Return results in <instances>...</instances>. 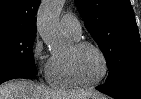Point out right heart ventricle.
Returning a JSON list of instances; mask_svg holds the SVG:
<instances>
[{
    "label": "right heart ventricle",
    "instance_id": "obj_1",
    "mask_svg": "<svg viewBox=\"0 0 141 99\" xmlns=\"http://www.w3.org/2000/svg\"><path fill=\"white\" fill-rule=\"evenodd\" d=\"M48 81L53 87L60 89L76 86L70 77L66 57H52L51 71Z\"/></svg>",
    "mask_w": 141,
    "mask_h": 99
}]
</instances>
